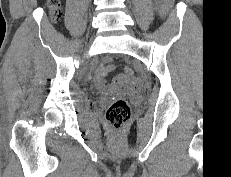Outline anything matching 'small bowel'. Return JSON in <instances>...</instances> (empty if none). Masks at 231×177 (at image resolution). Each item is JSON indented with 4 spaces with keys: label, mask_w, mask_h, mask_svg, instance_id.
Here are the masks:
<instances>
[{
    "label": "small bowel",
    "mask_w": 231,
    "mask_h": 177,
    "mask_svg": "<svg viewBox=\"0 0 231 177\" xmlns=\"http://www.w3.org/2000/svg\"><path fill=\"white\" fill-rule=\"evenodd\" d=\"M114 70V65L111 63L110 58H106L104 61V65L100 66L95 74L94 77V82L97 86V88L105 93V94H110L113 92H119L123 89H128L129 87L127 86L130 82L126 81L122 75L116 76L112 83H108L105 80V77L108 73Z\"/></svg>",
    "instance_id": "obj_1"
}]
</instances>
